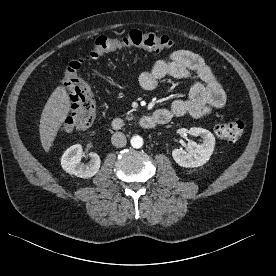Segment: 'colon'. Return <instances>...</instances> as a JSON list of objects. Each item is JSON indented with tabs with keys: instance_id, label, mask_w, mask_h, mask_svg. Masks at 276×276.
I'll return each mask as SVG.
<instances>
[{
	"instance_id": "1",
	"label": "colon",
	"mask_w": 276,
	"mask_h": 276,
	"mask_svg": "<svg viewBox=\"0 0 276 276\" xmlns=\"http://www.w3.org/2000/svg\"><path fill=\"white\" fill-rule=\"evenodd\" d=\"M174 46L176 42L168 36L138 29H133L120 37L96 38L82 57L70 61L65 68L64 84L71 101V113L62 123V130L69 133L87 128L96 118L95 96L89 84L78 74L83 62L130 48L165 51ZM244 128V122L237 119L217 123L214 132L220 138L237 140L243 134Z\"/></svg>"
}]
</instances>
